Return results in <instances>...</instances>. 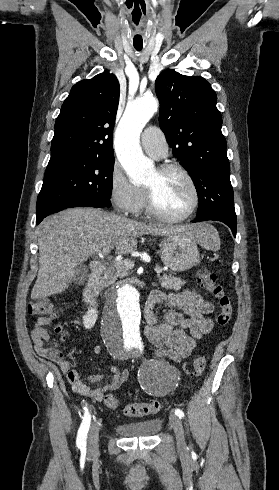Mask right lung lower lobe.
Wrapping results in <instances>:
<instances>
[{
	"instance_id": "right-lung-lower-lobe-1",
	"label": "right lung lower lobe",
	"mask_w": 279,
	"mask_h": 490,
	"mask_svg": "<svg viewBox=\"0 0 279 490\" xmlns=\"http://www.w3.org/2000/svg\"><path fill=\"white\" fill-rule=\"evenodd\" d=\"M71 207H96V208H102L106 207L100 202L94 201L89 198H73V199H66L63 201H58L55 203H52L48 206V209L44 211L42 214H36V225H38L45 217L52 213L59 212L63 209L66 208H71Z\"/></svg>"
}]
</instances>
